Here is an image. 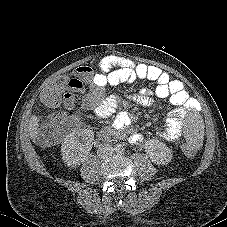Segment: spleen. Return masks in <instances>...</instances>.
Masks as SVG:
<instances>
[{"instance_id": "1", "label": "spleen", "mask_w": 227, "mask_h": 227, "mask_svg": "<svg viewBox=\"0 0 227 227\" xmlns=\"http://www.w3.org/2000/svg\"><path fill=\"white\" fill-rule=\"evenodd\" d=\"M185 139L192 146H199L206 139L205 120L198 113H191L184 120Z\"/></svg>"}]
</instances>
